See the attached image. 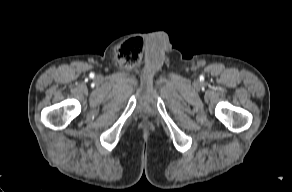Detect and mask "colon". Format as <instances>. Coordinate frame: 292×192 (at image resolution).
Wrapping results in <instances>:
<instances>
[{
	"label": "colon",
	"instance_id": "colon-1",
	"mask_svg": "<svg viewBox=\"0 0 292 192\" xmlns=\"http://www.w3.org/2000/svg\"><path fill=\"white\" fill-rule=\"evenodd\" d=\"M133 45L138 46V49H137V52H136L134 58L132 60H130V62H129L130 65H134V64H136L139 61V54H140L142 42H141L140 39H135L133 41V43H128V44H125L123 46V50H124L126 47H132Z\"/></svg>",
	"mask_w": 292,
	"mask_h": 192
}]
</instances>
